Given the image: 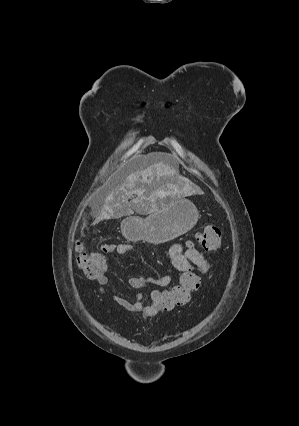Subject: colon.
<instances>
[{
	"mask_svg": "<svg viewBox=\"0 0 299 426\" xmlns=\"http://www.w3.org/2000/svg\"><path fill=\"white\" fill-rule=\"evenodd\" d=\"M197 242L210 253H217L221 249V231L215 225H205L196 235ZM106 246L97 252H86L78 243L76 246V263L78 268L89 278L95 279L102 271ZM200 287V278L196 268L190 267L181 273L176 284L151 292V304L161 311H171L186 304L191 294Z\"/></svg>",
	"mask_w": 299,
	"mask_h": 426,
	"instance_id": "colon-1",
	"label": "colon"
}]
</instances>
